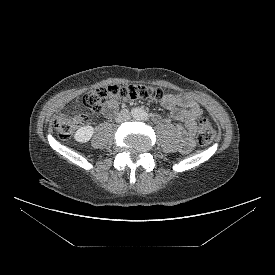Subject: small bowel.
Wrapping results in <instances>:
<instances>
[{"instance_id":"1","label":"small bowel","mask_w":275,"mask_h":275,"mask_svg":"<svg viewBox=\"0 0 275 275\" xmlns=\"http://www.w3.org/2000/svg\"><path fill=\"white\" fill-rule=\"evenodd\" d=\"M162 105L170 112L172 119L182 124L176 125L180 137L179 148L183 153L189 152L194 145V135L197 130L196 120L202 115L200 105L189 96L179 93L167 94L162 100ZM119 109L115 100L106 103L102 109L105 117L114 116Z\"/></svg>"}]
</instances>
